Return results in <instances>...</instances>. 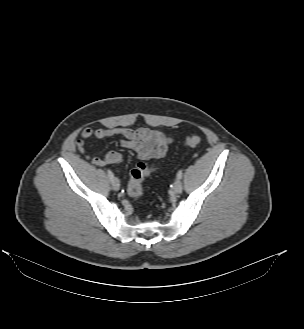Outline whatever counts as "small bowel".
<instances>
[{
  "mask_svg": "<svg viewBox=\"0 0 304 329\" xmlns=\"http://www.w3.org/2000/svg\"><path fill=\"white\" fill-rule=\"evenodd\" d=\"M114 135L121 136L120 144L122 147L132 150L140 160L161 159L169 151L172 139L163 132L149 128H85L82 131V139L77 142L78 150L85 152L87 146L86 140L95 137L104 139ZM94 165L104 166L119 164L122 161V155L116 151H110L104 157H87Z\"/></svg>",
  "mask_w": 304,
  "mask_h": 329,
  "instance_id": "c3829d8e",
  "label": "small bowel"
}]
</instances>
